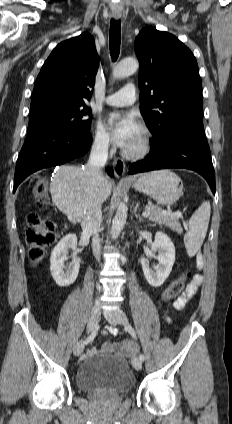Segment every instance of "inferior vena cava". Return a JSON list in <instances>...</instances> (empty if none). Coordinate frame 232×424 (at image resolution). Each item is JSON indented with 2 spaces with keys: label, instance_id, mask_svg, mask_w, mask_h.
<instances>
[{
  "label": "inferior vena cava",
  "instance_id": "obj_1",
  "mask_svg": "<svg viewBox=\"0 0 232 424\" xmlns=\"http://www.w3.org/2000/svg\"><path fill=\"white\" fill-rule=\"evenodd\" d=\"M109 141L106 139L95 140L88 163L85 166V173L91 179V192H90V208L85 213L81 221L83 234L92 235V249L93 254L97 259L100 258L101 244L98 237L102 221L101 203L102 192L101 187L105 181L102 168L106 165L108 158Z\"/></svg>",
  "mask_w": 232,
  "mask_h": 424
}]
</instances>
